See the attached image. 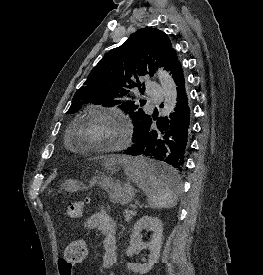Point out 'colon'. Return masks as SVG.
<instances>
[{"label": "colon", "instance_id": "obj_1", "mask_svg": "<svg viewBox=\"0 0 263 275\" xmlns=\"http://www.w3.org/2000/svg\"><path fill=\"white\" fill-rule=\"evenodd\" d=\"M88 201L89 199L86 198L81 201L70 203L67 208V215L70 218L81 217ZM87 252V245L83 240H74L66 247L63 257L58 261V266L62 272H72L75 265L80 264L85 260Z\"/></svg>", "mask_w": 263, "mask_h": 275}]
</instances>
